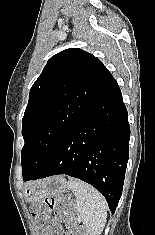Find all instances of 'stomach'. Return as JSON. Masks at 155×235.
Instances as JSON below:
<instances>
[{
	"instance_id": "0dacf381",
	"label": "stomach",
	"mask_w": 155,
	"mask_h": 235,
	"mask_svg": "<svg viewBox=\"0 0 155 235\" xmlns=\"http://www.w3.org/2000/svg\"><path fill=\"white\" fill-rule=\"evenodd\" d=\"M67 188V182L64 178L53 177L27 186L24 194L27 202H39L44 198L60 195Z\"/></svg>"
}]
</instances>
